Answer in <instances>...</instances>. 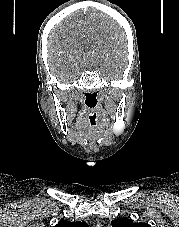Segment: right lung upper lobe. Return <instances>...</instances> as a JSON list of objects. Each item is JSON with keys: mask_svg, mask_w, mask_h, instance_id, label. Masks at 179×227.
<instances>
[{"mask_svg": "<svg viewBox=\"0 0 179 227\" xmlns=\"http://www.w3.org/2000/svg\"><path fill=\"white\" fill-rule=\"evenodd\" d=\"M54 227H89V225L86 222L60 220Z\"/></svg>", "mask_w": 179, "mask_h": 227, "instance_id": "right-lung-upper-lobe-1", "label": "right lung upper lobe"}]
</instances>
